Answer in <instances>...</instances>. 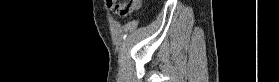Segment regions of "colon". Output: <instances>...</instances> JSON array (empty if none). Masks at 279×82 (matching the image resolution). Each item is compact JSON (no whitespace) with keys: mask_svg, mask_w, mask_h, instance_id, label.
<instances>
[{"mask_svg":"<svg viewBox=\"0 0 279 82\" xmlns=\"http://www.w3.org/2000/svg\"><path fill=\"white\" fill-rule=\"evenodd\" d=\"M112 3L115 4H120V2L115 1V0H110ZM141 0H129V1H124L122 4H126V5H133L135 7L140 6L141 5Z\"/></svg>","mask_w":279,"mask_h":82,"instance_id":"5ec220e1","label":"colon"}]
</instances>
